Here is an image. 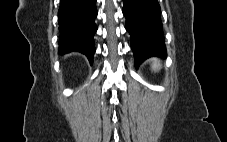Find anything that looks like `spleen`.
Returning a JSON list of instances; mask_svg holds the SVG:
<instances>
[{
	"label": "spleen",
	"mask_w": 227,
	"mask_h": 142,
	"mask_svg": "<svg viewBox=\"0 0 227 142\" xmlns=\"http://www.w3.org/2000/svg\"><path fill=\"white\" fill-rule=\"evenodd\" d=\"M152 68L154 71H157L160 69L161 65L159 63V60L158 59H152Z\"/></svg>",
	"instance_id": "1"
}]
</instances>
